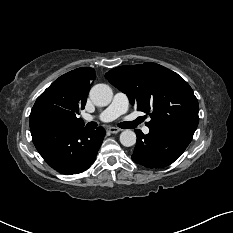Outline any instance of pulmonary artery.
<instances>
[{
	"mask_svg": "<svg viewBox=\"0 0 233 233\" xmlns=\"http://www.w3.org/2000/svg\"><path fill=\"white\" fill-rule=\"evenodd\" d=\"M129 100L126 94L118 92L115 94L112 103L103 110L96 119L102 122H110L120 115L124 114L128 110ZM85 119L88 121L94 120L93 116L87 115ZM143 132L145 134L149 133V128L147 126L143 127Z\"/></svg>",
	"mask_w": 233,
	"mask_h": 233,
	"instance_id": "pulmonary-artery-1",
	"label": "pulmonary artery"
}]
</instances>
